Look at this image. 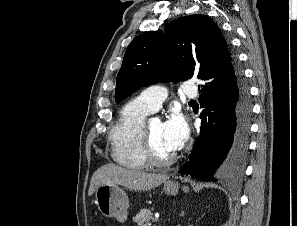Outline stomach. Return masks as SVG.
<instances>
[{
  "mask_svg": "<svg viewBox=\"0 0 297 226\" xmlns=\"http://www.w3.org/2000/svg\"><path fill=\"white\" fill-rule=\"evenodd\" d=\"M180 185L176 181L166 180L163 191L168 195H176ZM183 191L188 188L183 186ZM95 203L100 212L106 217H114L118 221H126L128 215L129 200L125 191L118 184H103L95 191Z\"/></svg>",
  "mask_w": 297,
  "mask_h": 226,
  "instance_id": "stomach-1",
  "label": "stomach"
}]
</instances>
